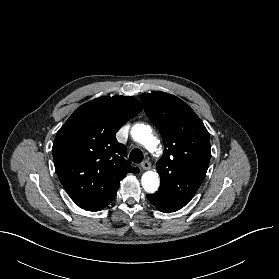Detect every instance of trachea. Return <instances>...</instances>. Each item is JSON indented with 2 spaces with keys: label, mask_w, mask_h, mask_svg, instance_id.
Masks as SVG:
<instances>
[{
  "label": "trachea",
  "mask_w": 279,
  "mask_h": 279,
  "mask_svg": "<svg viewBox=\"0 0 279 279\" xmlns=\"http://www.w3.org/2000/svg\"><path fill=\"white\" fill-rule=\"evenodd\" d=\"M129 159L134 163H141L143 160V153L139 149H133L129 155Z\"/></svg>",
  "instance_id": "1"
}]
</instances>
